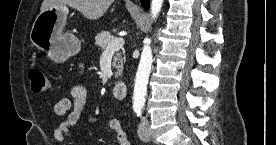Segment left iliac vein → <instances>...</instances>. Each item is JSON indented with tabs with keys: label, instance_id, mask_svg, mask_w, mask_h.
<instances>
[{
	"label": "left iliac vein",
	"instance_id": "left-iliac-vein-1",
	"mask_svg": "<svg viewBox=\"0 0 276 145\" xmlns=\"http://www.w3.org/2000/svg\"><path fill=\"white\" fill-rule=\"evenodd\" d=\"M138 136L142 141H149L150 139L149 122L146 118H143L139 124Z\"/></svg>",
	"mask_w": 276,
	"mask_h": 145
}]
</instances>
